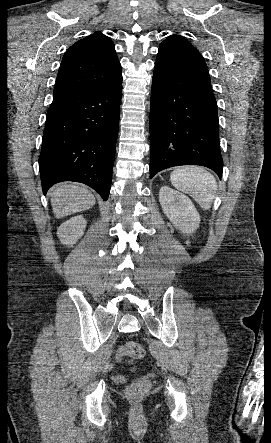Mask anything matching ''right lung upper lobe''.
I'll use <instances>...</instances> for the list:
<instances>
[{
    "label": "right lung upper lobe",
    "instance_id": "cb5924a9",
    "mask_svg": "<svg viewBox=\"0 0 271 443\" xmlns=\"http://www.w3.org/2000/svg\"><path fill=\"white\" fill-rule=\"evenodd\" d=\"M122 79L121 65L112 40L101 33L74 43L64 54L54 96L107 87Z\"/></svg>",
    "mask_w": 271,
    "mask_h": 443
}]
</instances>
